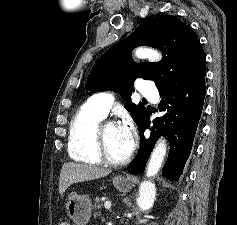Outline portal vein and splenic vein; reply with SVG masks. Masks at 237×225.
I'll list each match as a JSON object with an SVG mask.
<instances>
[{
    "label": "portal vein and splenic vein",
    "mask_w": 237,
    "mask_h": 225,
    "mask_svg": "<svg viewBox=\"0 0 237 225\" xmlns=\"http://www.w3.org/2000/svg\"><path fill=\"white\" fill-rule=\"evenodd\" d=\"M104 207L109 210L111 208V201H105Z\"/></svg>",
    "instance_id": "portal-vein-and-splenic-vein-1"
}]
</instances>
